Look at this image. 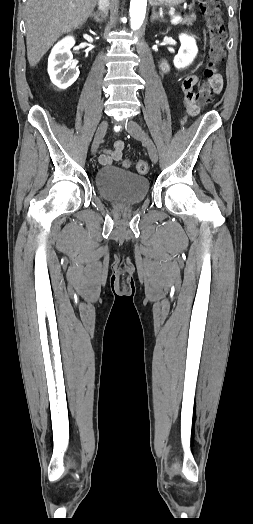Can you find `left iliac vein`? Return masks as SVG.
<instances>
[{"mask_svg":"<svg viewBox=\"0 0 253 524\" xmlns=\"http://www.w3.org/2000/svg\"><path fill=\"white\" fill-rule=\"evenodd\" d=\"M126 129L132 137L141 140L145 144L150 159L152 160V162L156 163L158 160L157 148L153 143L152 139L149 137V135L141 127V125H139V123H137L134 120H127Z\"/></svg>","mask_w":253,"mask_h":524,"instance_id":"left-iliac-vein-1","label":"left iliac vein"}]
</instances>
